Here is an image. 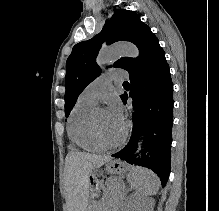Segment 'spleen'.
<instances>
[{"label": "spleen", "mask_w": 219, "mask_h": 211, "mask_svg": "<svg viewBox=\"0 0 219 211\" xmlns=\"http://www.w3.org/2000/svg\"><path fill=\"white\" fill-rule=\"evenodd\" d=\"M128 179L131 187L143 195H156L160 187L159 177L147 167H134Z\"/></svg>", "instance_id": "spleen-1"}]
</instances>
